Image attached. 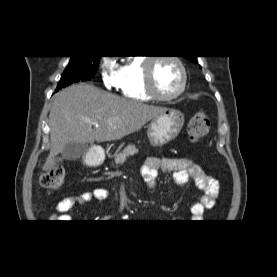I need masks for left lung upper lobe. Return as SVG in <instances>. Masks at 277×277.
Returning <instances> with one entry per match:
<instances>
[{"label":"left lung upper lobe","instance_id":"5c2ea615","mask_svg":"<svg viewBox=\"0 0 277 277\" xmlns=\"http://www.w3.org/2000/svg\"><path fill=\"white\" fill-rule=\"evenodd\" d=\"M187 58H189V59L192 60L193 62L198 63V61H197V56H191V57H187Z\"/></svg>","mask_w":277,"mask_h":277}]
</instances>
